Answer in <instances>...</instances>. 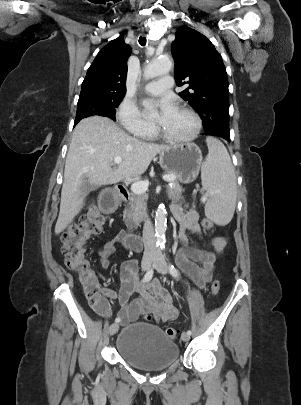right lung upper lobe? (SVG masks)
<instances>
[{"instance_id":"1","label":"right lung upper lobe","mask_w":301,"mask_h":405,"mask_svg":"<svg viewBox=\"0 0 301 405\" xmlns=\"http://www.w3.org/2000/svg\"><path fill=\"white\" fill-rule=\"evenodd\" d=\"M131 48L123 36L110 41L100 50L89 67L81 86V94L125 95L127 59Z\"/></svg>"}]
</instances>
